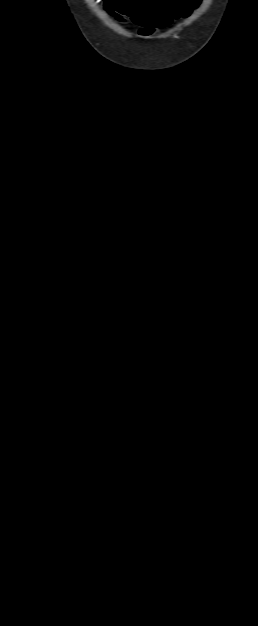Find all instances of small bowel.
Returning <instances> with one entry per match:
<instances>
[{"label":"small bowel","mask_w":258,"mask_h":626,"mask_svg":"<svg viewBox=\"0 0 258 626\" xmlns=\"http://www.w3.org/2000/svg\"><path fill=\"white\" fill-rule=\"evenodd\" d=\"M200 3V0H183L173 9H171L168 13L156 17L155 20L161 21L162 25H149V24H141L140 34L143 36H150L155 33L157 28H163L171 23L173 19H178L180 17H186L190 14L193 8H195ZM107 10L111 13H114L118 16H123L126 14L124 9L120 10L116 6L113 1H108L106 4ZM131 16V15H129Z\"/></svg>","instance_id":"obj_1"}]
</instances>
